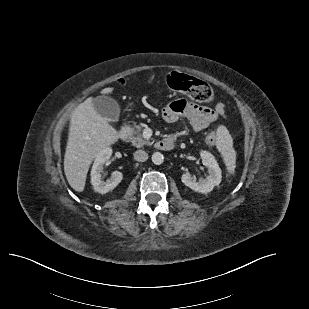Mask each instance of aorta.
Returning <instances> with one entry per match:
<instances>
[{"instance_id": "1", "label": "aorta", "mask_w": 309, "mask_h": 309, "mask_svg": "<svg viewBox=\"0 0 309 309\" xmlns=\"http://www.w3.org/2000/svg\"><path fill=\"white\" fill-rule=\"evenodd\" d=\"M164 161V156L162 153L160 152H155L153 153L152 155V162L155 164V165H160L162 164Z\"/></svg>"}]
</instances>
